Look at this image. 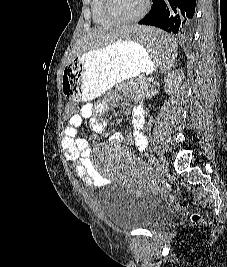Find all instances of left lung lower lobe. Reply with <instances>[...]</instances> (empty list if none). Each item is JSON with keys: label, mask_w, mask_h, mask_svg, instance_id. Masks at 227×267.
<instances>
[{"label": "left lung lower lobe", "mask_w": 227, "mask_h": 267, "mask_svg": "<svg viewBox=\"0 0 227 267\" xmlns=\"http://www.w3.org/2000/svg\"><path fill=\"white\" fill-rule=\"evenodd\" d=\"M195 5L196 0H153L150 12L138 23L159 27L185 39L192 31ZM163 42L158 39L154 43Z\"/></svg>", "instance_id": "0a47b994"}]
</instances>
